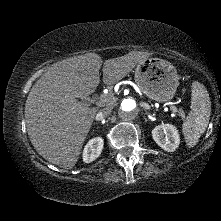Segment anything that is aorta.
I'll return each instance as SVG.
<instances>
[{"mask_svg":"<svg viewBox=\"0 0 221 221\" xmlns=\"http://www.w3.org/2000/svg\"><path fill=\"white\" fill-rule=\"evenodd\" d=\"M139 107L133 98H125L118 107V113L124 121H131L138 115Z\"/></svg>","mask_w":221,"mask_h":221,"instance_id":"762f6f07","label":"aorta"}]
</instances>
